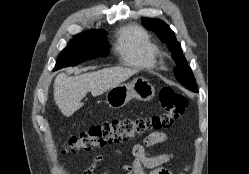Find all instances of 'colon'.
Masks as SVG:
<instances>
[{"label":"colon","mask_w":249,"mask_h":174,"mask_svg":"<svg viewBox=\"0 0 249 174\" xmlns=\"http://www.w3.org/2000/svg\"><path fill=\"white\" fill-rule=\"evenodd\" d=\"M159 99L162 107L160 113L143 117L112 118L92 126L79 135L70 137L65 142L62 153L91 150L171 129L187 108L188 98L171 87H165L160 91Z\"/></svg>","instance_id":"colon-1"}]
</instances>
